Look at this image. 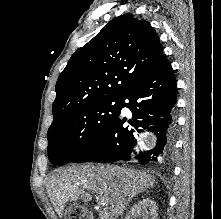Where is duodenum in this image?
<instances>
[{
  "label": "duodenum",
  "mask_w": 221,
  "mask_h": 219,
  "mask_svg": "<svg viewBox=\"0 0 221 219\" xmlns=\"http://www.w3.org/2000/svg\"><path fill=\"white\" fill-rule=\"evenodd\" d=\"M98 219H114V218H112L107 212L99 210Z\"/></svg>",
  "instance_id": "1"
}]
</instances>
